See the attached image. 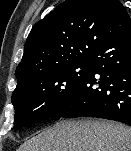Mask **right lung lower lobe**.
I'll use <instances>...</instances> for the list:
<instances>
[{
    "label": "right lung lower lobe",
    "mask_w": 131,
    "mask_h": 151,
    "mask_svg": "<svg viewBox=\"0 0 131 151\" xmlns=\"http://www.w3.org/2000/svg\"><path fill=\"white\" fill-rule=\"evenodd\" d=\"M89 64V77L53 117H97L131 126V33L101 46Z\"/></svg>",
    "instance_id": "obj_1"
}]
</instances>
